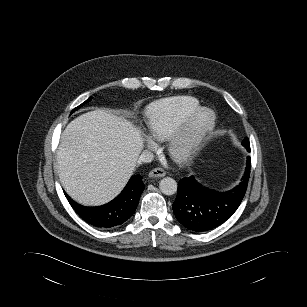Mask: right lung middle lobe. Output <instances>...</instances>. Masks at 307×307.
<instances>
[{
	"instance_id": "obj_1",
	"label": "right lung middle lobe",
	"mask_w": 307,
	"mask_h": 307,
	"mask_svg": "<svg viewBox=\"0 0 307 307\" xmlns=\"http://www.w3.org/2000/svg\"><path fill=\"white\" fill-rule=\"evenodd\" d=\"M90 100H91V97H90L89 99H87L84 103H82L80 106H78L77 108H75L74 110L78 109L79 107H81V106L84 105L85 103L89 102ZM74 110H73V111H74ZM73 111H72V112H73Z\"/></svg>"
}]
</instances>
